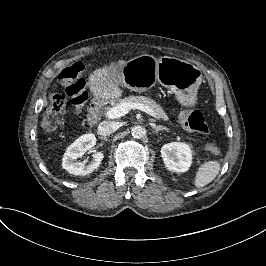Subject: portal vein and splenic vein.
<instances>
[{
  "label": "portal vein and splenic vein",
  "mask_w": 266,
  "mask_h": 266,
  "mask_svg": "<svg viewBox=\"0 0 266 266\" xmlns=\"http://www.w3.org/2000/svg\"><path fill=\"white\" fill-rule=\"evenodd\" d=\"M131 108L140 110L150 115L151 117L155 118L159 122L161 123L163 122V120L156 114V112L150 106H145L140 103H130L128 101H126L125 103H121L113 108H110L104 113V116L112 120L119 119L123 117L124 115H126L130 111Z\"/></svg>",
  "instance_id": "1"
}]
</instances>
